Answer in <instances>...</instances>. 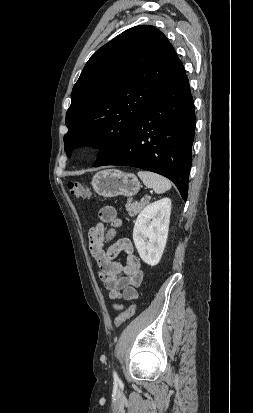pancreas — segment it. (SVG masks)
I'll return each mask as SVG.
<instances>
[{
	"instance_id": "obj_1",
	"label": "pancreas",
	"mask_w": 253,
	"mask_h": 413,
	"mask_svg": "<svg viewBox=\"0 0 253 413\" xmlns=\"http://www.w3.org/2000/svg\"><path fill=\"white\" fill-rule=\"evenodd\" d=\"M149 203L148 199H145L144 201L141 202H131L128 201L127 204L125 205L126 210L128 211L129 216L133 217L137 215L145 205Z\"/></svg>"
}]
</instances>
